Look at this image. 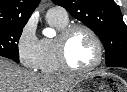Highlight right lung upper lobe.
Wrapping results in <instances>:
<instances>
[{
	"mask_svg": "<svg viewBox=\"0 0 127 92\" xmlns=\"http://www.w3.org/2000/svg\"><path fill=\"white\" fill-rule=\"evenodd\" d=\"M40 0H0V27L25 26Z\"/></svg>",
	"mask_w": 127,
	"mask_h": 92,
	"instance_id": "right-lung-upper-lobe-1",
	"label": "right lung upper lobe"
}]
</instances>
